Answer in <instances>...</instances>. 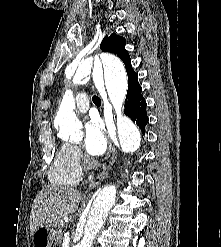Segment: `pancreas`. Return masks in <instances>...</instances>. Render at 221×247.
I'll return each instance as SVG.
<instances>
[{"label": "pancreas", "mask_w": 221, "mask_h": 247, "mask_svg": "<svg viewBox=\"0 0 221 247\" xmlns=\"http://www.w3.org/2000/svg\"><path fill=\"white\" fill-rule=\"evenodd\" d=\"M52 235L56 244H61L63 236V226L59 223H55L52 226Z\"/></svg>", "instance_id": "1"}]
</instances>
